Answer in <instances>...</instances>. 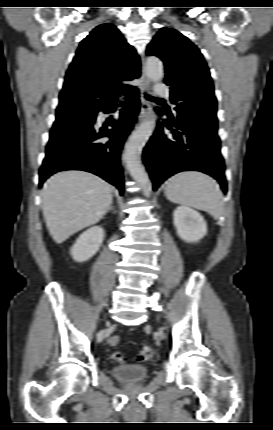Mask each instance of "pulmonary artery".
<instances>
[{"mask_svg": "<svg viewBox=\"0 0 273 430\" xmlns=\"http://www.w3.org/2000/svg\"><path fill=\"white\" fill-rule=\"evenodd\" d=\"M157 94L162 96V97H168L169 96V90L164 84L159 83L157 85Z\"/></svg>", "mask_w": 273, "mask_h": 430, "instance_id": "e3ab8cb5", "label": "pulmonary artery"}]
</instances>
